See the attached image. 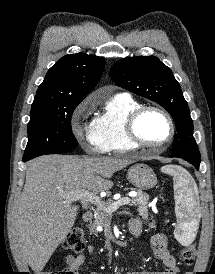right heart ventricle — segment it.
<instances>
[{"mask_svg":"<svg viewBox=\"0 0 215 274\" xmlns=\"http://www.w3.org/2000/svg\"><path fill=\"white\" fill-rule=\"evenodd\" d=\"M140 104L127 94H116L108 98L102 112L92 121L95 135L105 152L121 153L137 148L127 137L125 121Z\"/></svg>","mask_w":215,"mask_h":274,"instance_id":"right-heart-ventricle-1","label":"right heart ventricle"}]
</instances>
